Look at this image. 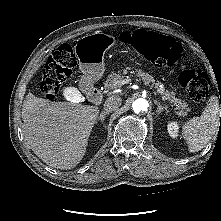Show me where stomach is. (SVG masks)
I'll list each match as a JSON object with an SVG mask.
<instances>
[{
  "mask_svg": "<svg viewBox=\"0 0 221 221\" xmlns=\"http://www.w3.org/2000/svg\"><path fill=\"white\" fill-rule=\"evenodd\" d=\"M115 43V38L101 32L82 37L77 54L80 70L91 81L98 80L104 72V52Z\"/></svg>",
  "mask_w": 221,
  "mask_h": 221,
  "instance_id": "stomach-1",
  "label": "stomach"
}]
</instances>
